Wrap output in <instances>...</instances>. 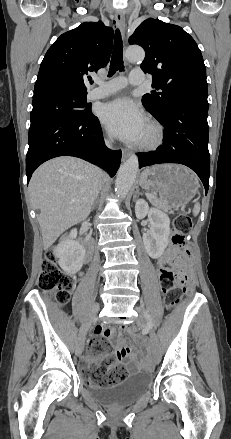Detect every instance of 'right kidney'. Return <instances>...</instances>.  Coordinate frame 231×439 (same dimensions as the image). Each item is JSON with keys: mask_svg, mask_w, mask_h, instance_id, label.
Listing matches in <instances>:
<instances>
[{"mask_svg": "<svg viewBox=\"0 0 231 439\" xmlns=\"http://www.w3.org/2000/svg\"><path fill=\"white\" fill-rule=\"evenodd\" d=\"M77 230H71L69 238L54 248V255L59 258V265L66 274H75L83 265L85 249L74 240Z\"/></svg>", "mask_w": 231, "mask_h": 439, "instance_id": "right-kidney-1", "label": "right kidney"}]
</instances>
